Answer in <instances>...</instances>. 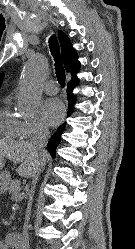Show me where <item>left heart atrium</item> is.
Here are the masks:
<instances>
[{
    "label": "left heart atrium",
    "instance_id": "1",
    "mask_svg": "<svg viewBox=\"0 0 135 249\" xmlns=\"http://www.w3.org/2000/svg\"><path fill=\"white\" fill-rule=\"evenodd\" d=\"M65 108L57 98H50L42 105L44 119L52 126L57 125L63 118Z\"/></svg>",
    "mask_w": 135,
    "mask_h": 249
}]
</instances>
